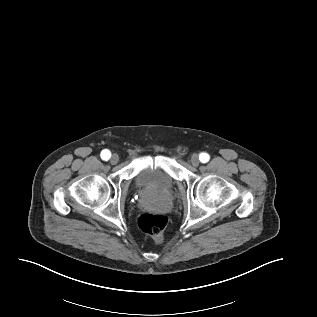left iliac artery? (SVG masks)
<instances>
[{
  "label": "left iliac artery",
  "instance_id": "left-iliac-artery-1",
  "mask_svg": "<svg viewBox=\"0 0 317 317\" xmlns=\"http://www.w3.org/2000/svg\"><path fill=\"white\" fill-rule=\"evenodd\" d=\"M199 159L202 163H206L209 161L210 156L207 153H201Z\"/></svg>",
  "mask_w": 317,
  "mask_h": 317
}]
</instances>
